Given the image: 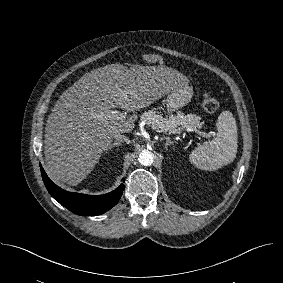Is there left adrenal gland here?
Segmentation results:
<instances>
[{
    "instance_id": "obj_1",
    "label": "left adrenal gland",
    "mask_w": 283,
    "mask_h": 283,
    "mask_svg": "<svg viewBox=\"0 0 283 283\" xmlns=\"http://www.w3.org/2000/svg\"><path fill=\"white\" fill-rule=\"evenodd\" d=\"M160 140H165L166 141V143H165V148L166 149H167L168 145H171V144L174 143V141H172L169 137H165V136L161 137Z\"/></svg>"
}]
</instances>
